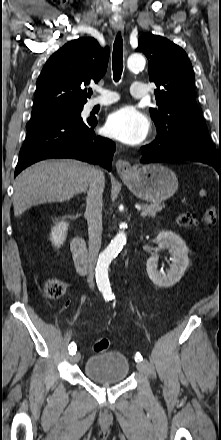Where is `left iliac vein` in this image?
Masks as SVG:
<instances>
[{"label":"left iliac vein","mask_w":221,"mask_h":440,"mask_svg":"<svg viewBox=\"0 0 221 440\" xmlns=\"http://www.w3.org/2000/svg\"><path fill=\"white\" fill-rule=\"evenodd\" d=\"M137 369L141 372V373H143V374H145V375H149L150 374V369H149V367H148V365H147V363L145 362V361H139V362H137Z\"/></svg>","instance_id":"4c4485c4"}]
</instances>
